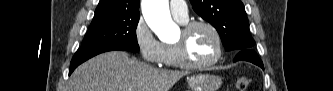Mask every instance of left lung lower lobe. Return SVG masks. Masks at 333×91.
<instances>
[{"instance_id":"0a47b994","label":"left lung lower lobe","mask_w":333,"mask_h":91,"mask_svg":"<svg viewBox=\"0 0 333 91\" xmlns=\"http://www.w3.org/2000/svg\"><path fill=\"white\" fill-rule=\"evenodd\" d=\"M236 56L234 58V61H249L252 62L258 66H260L263 69V63L254 51V49H243L240 51L235 52Z\"/></svg>"}]
</instances>
